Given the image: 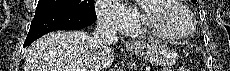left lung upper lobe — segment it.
Wrapping results in <instances>:
<instances>
[{"instance_id":"1","label":"left lung upper lobe","mask_w":230,"mask_h":71,"mask_svg":"<svg viewBox=\"0 0 230 71\" xmlns=\"http://www.w3.org/2000/svg\"><path fill=\"white\" fill-rule=\"evenodd\" d=\"M193 3H196V0H192Z\"/></svg>"}]
</instances>
